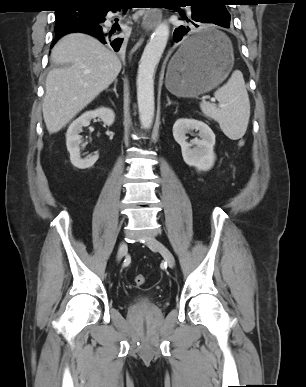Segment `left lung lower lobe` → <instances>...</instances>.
<instances>
[{
	"instance_id": "0a47b994",
	"label": "left lung lower lobe",
	"mask_w": 306,
	"mask_h": 387,
	"mask_svg": "<svg viewBox=\"0 0 306 387\" xmlns=\"http://www.w3.org/2000/svg\"><path fill=\"white\" fill-rule=\"evenodd\" d=\"M177 9H179V7H177ZM179 12L183 18L182 20L184 24L175 29L173 39L175 42L182 40L181 53L185 59L195 58L198 55L210 50L215 39L214 35L209 33L189 37L193 26L199 27L198 23H211L224 28H229L230 26V22L215 20L209 12V8L203 4L198 6L197 9L193 8L192 15L189 17H187L182 11Z\"/></svg>"
}]
</instances>
